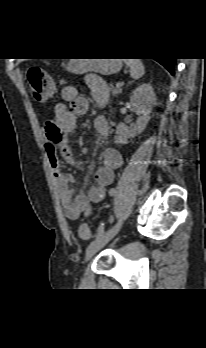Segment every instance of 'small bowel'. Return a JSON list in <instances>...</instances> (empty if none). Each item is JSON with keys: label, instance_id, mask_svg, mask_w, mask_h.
<instances>
[{"label": "small bowel", "instance_id": "obj_1", "mask_svg": "<svg viewBox=\"0 0 206 348\" xmlns=\"http://www.w3.org/2000/svg\"><path fill=\"white\" fill-rule=\"evenodd\" d=\"M86 83L91 95L99 106L108 102L109 86L95 75L86 77ZM61 97L64 102L55 108V117L45 126L46 141L44 150L48 163L54 175L57 193L61 199L65 216L68 220L76 221L82 214L88 215L94 204L100 203L106 194V188L114 179V173L123 164L121 154L115 149H107L102 153L101 164L94 173V184L86 194L74 196L72 189L73 177L66 173L61 164V158H70V148L67 136L76 128L77 117L85 114L89 107V100L79 93L75 86L62 88ZM93 129L99 135L109 133V123L105 117L98 116L93 121Z\"/></svg>", "mask_w": 206, "mask_h": 348}]
</instances>
